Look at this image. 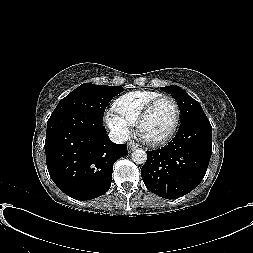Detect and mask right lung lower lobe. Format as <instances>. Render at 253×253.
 Instances as JSON below:
<instances>
[{
	"label": "right lung lower lobe",
	"instance_id": "obj_1",
	"mask_svg": "<svg viewBox=\"0 0 253 253\" xmlns=\"http://www.w3.org/2000/svg\"><path fill=\"white\" fill-rule=\"evenodd\" d=\"M103 120L69 111L47 122L45 153L51 179L66 195L90 200L111 186L113 164L127 155L126 144L113 143Z\"/></svg>",
	"mask_w": 253,
	"mask_h": 253
}]
</instances>
